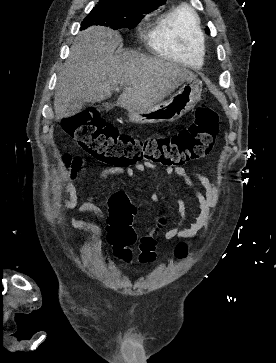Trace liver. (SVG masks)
I'll use <instances>...</instances> for the list:
<instances>
[{"mask_svg": "<svg viewBox=\"0 0 276 363\" xmlns=\"http://www.w3.org/2000/svg\"><path fill=\"white\" fill-rule=\"evenodd\" d=\"M121 36L106 27L93 26L74 39L69 56L58 75L54 97L56 120L72 116V101L100 102L108 99L117 85L127 89L117 105L127 109H146L156 105L196 75L174 62L136 51H121Z\"/></svg>", "mask_w": 276, "mask_h": 363, "instance_id": "6515ba94", "label": "liver"}]
</instances>
